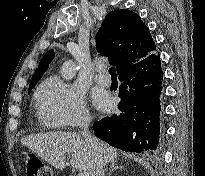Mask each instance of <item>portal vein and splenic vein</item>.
Wrapping results in <instances>:
<instances>
[{
	"label": "portal vein and splenic vein",
	"instance_id": "18ae733b",
	"mask_svg": "<svg viewBox=\"0 0 205 176\" xmlns=\"http://www.w3.org/2000/svg\"><path fill=\"white\" fill-rule=\"evenodd\" d=\"M81 176H89V173L88 172H82Z\"/></svg>",
	"mask_w": 205,
	"mask_h": 176
}]
</instances>
